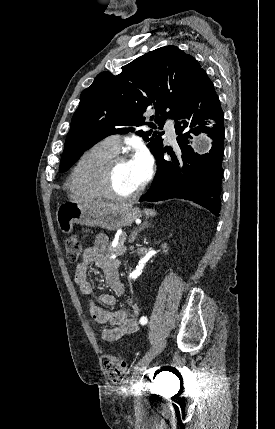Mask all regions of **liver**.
<instances>
[{"mask_svg": "<svg viewBox=\"0 0 275 429\" xmlns=\"http://www.w3.org/2000/svg\"><path fill=\"white\" fill-rule=\"evenodd\" d=\"M69 197L72 202H76L80 204L83 208H88L92 210H99V209H103V208H107L115 205L113 203H104V202H96V201L88 202V201L81 200L78 197L73 195H69Z\"/></svg>", "mask_w": 275, "mask_h": 429, "instance_id": "obj_1", "label": "liver"}]
</instances>
